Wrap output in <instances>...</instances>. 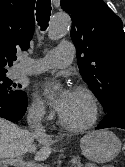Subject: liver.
<instances>
[{
	"label": "liver",
	"mask_w": 125,
	"mask_h": 167,
	"mask_svg": "<svg viewBox=\"0 0 125 167\" xmlns=\"http://www.w3.org/2000/svg\"><path fill=\"white\" fill-rule=\"evenodd\" d=\"M35 141L41 145L38 151ZM53 143L54 141L45 134L37 135L0 118V159L16 158L31 152L34 153L35 160L44 161L51 154Z\"/></svg>",
	"instance_id": "1"
}]
</instances>
